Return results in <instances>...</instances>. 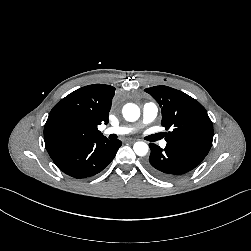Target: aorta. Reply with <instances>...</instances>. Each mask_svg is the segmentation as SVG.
Returning <instances> with one entry per match:
<instances>
[{"label": "aorta", "instance_id": "aorta-1", "mask_svg": "<svg viewBox=\"0 0 251 251\" xmlns=\"http://www.w3.org/2000/svg\"><path fill=\"white\" fill-rule=\"evenodd\" d=\"M122 115L126 121L133 122L140 117V109L133 103H127L122 109ZM133 150L138 156H145L149 146L145 142L138 141L134 144Z\"/></svg>", "mask_w": 251, "mask_h": 251}]
</instances>
